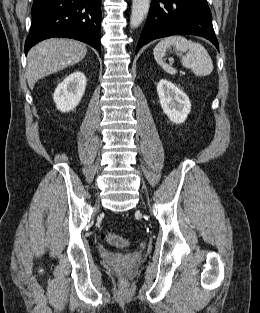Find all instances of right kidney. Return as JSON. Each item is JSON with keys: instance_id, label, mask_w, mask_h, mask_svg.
I'll use <instances>...</instances> for the list:
<instances>
[{"instance_id": "ca27d5eb", "label": "right kidney", "mask_w": 260, "mask_h": 313, "mask_svg": "<svg viewBox=\"0 0 260 313\" xmlns=\"http://www.w3.org/2000/svg\"><path fill=\"white\" fill-rule=\"evenodd\" d=\"M86 77L81 71L67 76L55 89L53 100L61 112L73 110L81 101L86 88Z\"/></svg>"}]
</instances>
